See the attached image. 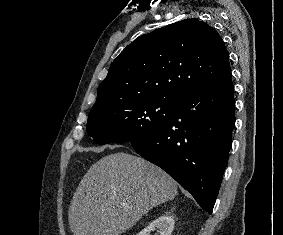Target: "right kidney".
Returning <instances> with one entry per match:
<instances>
[{
	"instance_id": "obj_1",
	"label": "right kidney",
	"mask_w": 283,
	"mask_h": 235,
	"mask_svg": "<svg viewBox=\"0 0 283 235\" xmlns=\"http://www.w3.org/2000/svg\"><path fill=\"white\" fill-rule=\"evenodd\" d=\"M174 228V219L169 215H162L152 221L137 235H150L151 231L158 229L159 235H171Z\"/></svg>"
}]
</instances>
